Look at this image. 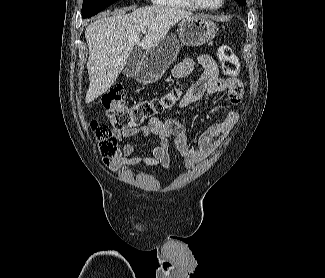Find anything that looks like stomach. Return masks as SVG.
Returning <instances> with one entry per match:
<instances>
[{"label": "stomach", "mask_w": 325, "mask_h": 278, "mask_svg": "<svg viewBox=\"0 0 325 278\" xmlns=\"http://www.w3.org/2000/svg\"><path fill=\"white\" fill-rule=\"evenodd\" d=\"M217 30L216 24L205 16L183 19L179 23L178 39L173 35H166L158 44L146 50L137 69L136 79L144 84L157 81L177 57L179 41L186 46H201L211 41Z\"/></svg>", "instance_id": "obj_1"}]
</instances>
